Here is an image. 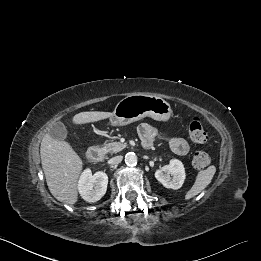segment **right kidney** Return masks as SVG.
<instances>
[{
  "label": "right kidney",
  "mask_w": 261,
  "mask_h": 261,
  "mask_svg": "<svg viewBox=\"0 0 261 261\" xmlns=\"http://www.w3.org/2000/svg\"><path fill=\"white\" fill-rule=\"evenodd\" d=\"M108 176L102 171L92 174L90 169L82 172L78 181V191L87 202H96L106 193Z\"/></svg>",
  "instance_id": "obj_1"
}]
</instances>
